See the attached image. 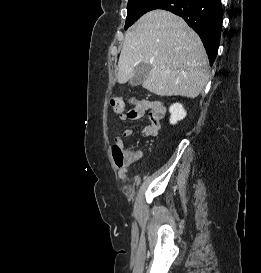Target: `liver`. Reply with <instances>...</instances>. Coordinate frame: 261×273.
<instances>
[{"mask_svg":"<svg viewBox=\"0 0 261 273\" xmlns=\"http://www.w3.org/2000/svg\"><path fill=\"white\" fill-rule=\"evenodd\" d=\"M152 69L142 86L159 96L197 97L209 80L199 36L179 16L161 9L144 14L125 34L118 82L126 83L138 64Z\"/></svg>","mask_w":261,"mask_h":273,"instance_id":"liver-1","label":"liver"}]
</instances>
